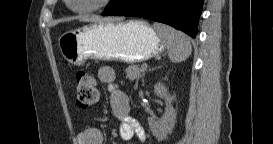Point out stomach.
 <instances>
[{
	"label": "stomach",
	"instance_id": "obj_1",
	"mask_svg": "<svg viewBox=\"0 0 273 144\" xmlns=\"http://www.w3.org/2000/svg\"><path fill=\"white\" fill-rule=\"evenodd\" d=\"M70 64L88 59L138 63L162 53L165 43L148 23L139 20L99 22L70 30L58 41Z\"/></svg>",
	"mask_w": 273,
	"mask_h": 144
}]
</instances>
